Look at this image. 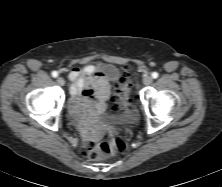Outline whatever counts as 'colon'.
Here are the masks:
<instances>
[{
    "label": "colon",
    "instance_id": "colon-1",
    "mask_svg": "<svg viewBox=\"0 0 222 187\" xmlns=\"http://www.w3.org/2000/svg\"><path fill=\"white\" fill-rule=\"evenodd\" d=\"M128 80L125 86H128ZM111 107L113 110H118L126 101V98L122 90L115 92L111 98ZM126 148V143L122 138L116 137L112 139H106L99 142L89 140L83 149V155L90 160H103L111 156L122 153Z\"/></svg>",
    "mask_w": 222,
    "mask_h": 187
}]
</instances>
